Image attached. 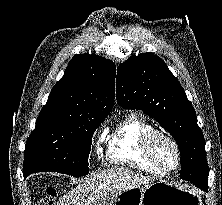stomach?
Instances as JSON below:
<instances>
[{"label":"stomach","instance_id":"1","mask_svg":"<svg viewBox=\"0 0 222 205\" xmlns=\"http://www.w3.org/2000/svg\"><path fill=\"white\" fill-rule=\"evenodd\" d=\"M93 205H202L198 191L158 180L145 187L123 190Z\"/></svg>","mask_w":222,"mask_h":205}]
</instances>
